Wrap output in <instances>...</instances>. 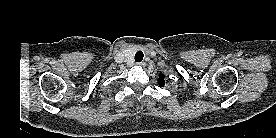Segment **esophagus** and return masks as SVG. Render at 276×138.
<instances>
[{
    "label": "esophagus",
    "instance_id": "34e87169",
    "mask_svg": "<svg viewBox=\"0 0 276 138\" xmlns=\"http://www.w3.org/2000/svg\"><path fill=\"white\" fill-rule=\"evenodd\" d=\"M136 65L144 67L146 64H145V62H138V63H136Z\"/></svg>",
    "mask_w": 276,
    "mask_h": 138
}]
</instances>
